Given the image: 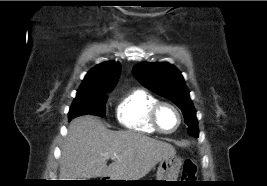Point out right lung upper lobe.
Instances as JSON below:
<instances>
[{
	"mask_svg": "<svg viewBox=\"0 0 267 186\" xmlns=\"http://www.w3.org/2000/svg\"><path fill=\"white\" fill-rule=\"evenodd\" d=\"M120 71L119 63H101L87 73L77 92L112 89L119 78Z\"/></svg>",
	"mask_w": 267,
	"mask_h": 186,
	"instance_id": "1",
	"label": "right lung upper lobe"
}]
</instances>
